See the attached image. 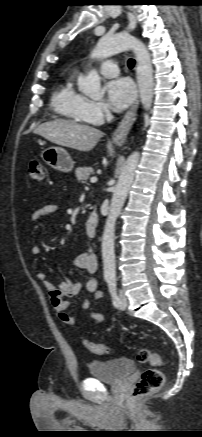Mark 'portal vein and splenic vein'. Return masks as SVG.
<instances>
[{
	"instance_id": "obj_1",
	"label": "portal vein and splenic vein",
	"mask_w": 202,
	"mask_h": 437,
	"mask_svg": "<svg viewBox=\"0 0 202 437\" xmlns=\"http://www.w3.org/2000/svg\"><path fill=\"white\" fill-rule=\"evenodd\" d=\"M97 181V178L96 177H92L91 179H90V182L91 183H95Z\"/></svg>"
}]
</instances>
